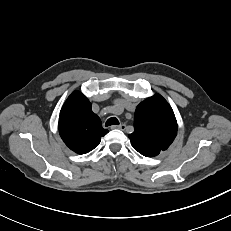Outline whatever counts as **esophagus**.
Wrapping results in <instances>:
<instances>
[{"label":"esophagus","instance_id":"34e87169","mask_svg":"<svg viewBox=\"0 0 231 231\" xmlns=\"http://www.w3.org/2000/svg\"><path fill=\"white\" fill-rule=\"evenodd\" d=\"M126 128V125L125 124H120L118 126L114 125V126H111V129H119V130H125Z\"/></svg>","mask_w":231,"mask_h":231}]
</instances>
